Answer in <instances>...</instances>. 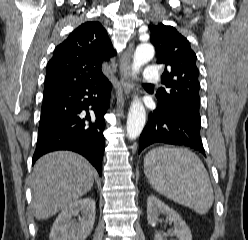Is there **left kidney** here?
<instances>
[{"instance_id":"1","label":"left kidney","mask_w":248,"mask_h":240,"mask_svg":"<svg viewBox=\"0 0 248 240\" xmlns=\"http://www.w3.org/2000/svg\"><path fill=\"white\" fill-rule=\"evenodd\" d=\"M159 215H165L169 221L174 223L171 234L178 240H192L191 231L181 216L157 197L151 195L147 199L148 224L155 226L159 222ZM154 240H166V234L157 233Z\"/></svg>"}]
</instances>
